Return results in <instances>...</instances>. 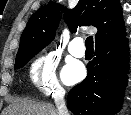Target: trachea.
Wrapping results in <instances>:
<instances>
[{
    "label": "trachea",
    "mask_w": 131,
    "mask_h": 115,
    "mask_svg": "<svg viewBox=\"0 0 131 115\" xmlns=\"http://www.w3.org/2000/svg\"><path fill=\"white\" fill-rule=\"evenodd\" d=\"M85 46H86V49H92L93 50V37L92 36H89V37L86 38Z\"/></svg>",
    "instance_id": "1"
}]
</instances>
